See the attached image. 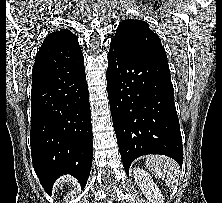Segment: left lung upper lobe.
<instances>
[{
	"label": "left lung upper lobe",
	"instance_id": "left-lung-upper-lobe-1",
	"mask_svg": "<svg viewBox=\"0 0 222 203\" xmlns=\"http://www.w3.org/2000/svg\"><path fill=\"white\" fill-rule=\"evenodd\" d=\"M111 43L123 45L128 49L158 53L167 58L159 36L149 29L146 22L141 20L128 19L122 21Z\"/></svg>",
	"mask_w": 222,
	"mask_h": 203
}]
</instances>
